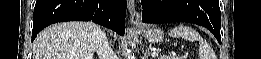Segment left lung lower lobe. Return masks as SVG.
<instances>
[{
	"mask_svg": "<svg viewBox=\"0 0 261 59\" xmlns=\"http://www.w3.org/2000/svg\"><path fill=\"white\" fill-rule=\"evenodd\" d=\"M142 22H190L209 29L221 44L218 0H143Z\"/></svg>",
	"mask_w": 261,
	"mask_h": 59,
	"instance_id": "0a47b994",
	"label": "left lung lower lobe"
}]
</instances>
